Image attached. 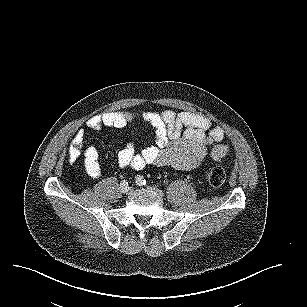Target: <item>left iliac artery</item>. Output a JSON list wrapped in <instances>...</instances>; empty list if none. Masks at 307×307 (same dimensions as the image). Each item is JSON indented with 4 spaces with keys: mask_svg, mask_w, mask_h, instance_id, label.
I'll return each instance as SVG.
<instances>
[{
    "mask_svg": "<svg viewBox=\"0 0 307 307\" xmlns=\"http://www.w3.org/2000/svg\"><path fill=\"white\" fill-rule=\"evenodd\" d=\"M137 184H139V185H145L146 184V180L143 178V176H138L137 177ZM157 186H158V184H157Z\"/></svg>",
    "mask_w": 307,
    "mask_h": 307,
    "instance_id": "44dca946",
    "label": "left iliac artery"
}]
</instances>
